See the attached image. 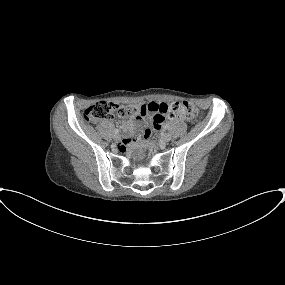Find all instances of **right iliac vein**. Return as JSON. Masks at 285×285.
Segmentation results:
<instances>
[{
  "mask_svg": "<svg viewBox=\"0 0 285 285\" xmlns=\"http://www.w3.org/2000/svg\"><path fill=\"white\" fill-rule=\"evenodd\" d=\"M114 140H115V141L121 140V136H120L119 134H115V135H114Z\"/></svg>",
  "mask_w": 285,
  "mask_h": 285,
  "instance_id": "right-iliac-vein-1",
  "label": "right iliac vein"
}]
</instances>
